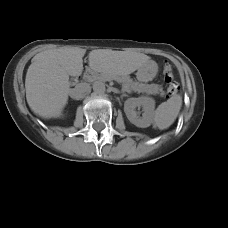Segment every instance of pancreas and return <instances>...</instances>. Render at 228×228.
I'll return each instance as SVG.
<instances>
[{
    "instance_id": "1",
    "label": "pancreas",
    "mask_w": 228,
    "mask_h": 228,
    "mask_svg": "<svg viewBox=\"0 0 228 228\" xmlns=\"http://www.w3.org/2000/svg\"><path fill=\"white\" fill-rule=\"evenodd\" d=\"M114 79L117 82L122 84V87L127 92H138V93H147V94H160L164 95V91L157 84H143L139 82L133 81L131 78L127 76L119 77V76H106L104 74L93 75L89 77L90 81L100 82V81H108Z\"/></svg>"
}]
</instances>
